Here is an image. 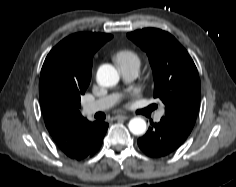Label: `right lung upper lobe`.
<instances>
[{"label":"right lung upper lobe","mask_w":236,"mask_h":187,"mask_svg":"<svg viewBox=\"0 0 236 187\" xmlns=\"http://www.w3.org/2000/svg\"><path fill=\"white\" fill-rule=\"evenodd\" d=\"M110 34L75 33L59 42L47 55L41 69L39 98L45 125L60 149L79 160L94 122L83 118L79 108L63 97L64 92L87 89L94 53Z\"/></svg>","instance_id":"cb5924a9"}]
</instances>
